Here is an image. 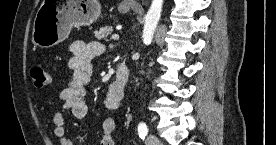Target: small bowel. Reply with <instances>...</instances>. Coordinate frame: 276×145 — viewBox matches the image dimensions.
Listing matches in <instances>:
<instances>
[{
  "mask_svg": "<svg viewBox=\"0 0 276 145\" xmlns=\"http://www.w3.org/2000/svg\"><path fill=\"white\" fill-rule=\"evenodd\" d=\"M71 58L69 68L72 72L67 86L62 90L59 98L65 109L71 111L72 116L77 120H83L88 113V105L85 100L86 85L92 75V60L102 53L99 43H85L75 41L70 46ZM124 93L116 90L114 82L109 86L104 104L105 107L114 111L119 108ZM54 135L59 138L60 145H73L66 137L64 116L61 112L53 115ZM117 121L114 116H107L102 123L103 136L101 145H115L112 133L115 131Z\"/></svg>",
  "mask_w": 276,
  "mask_h": 145,
  "instance_id": "1",
  "label": "small bowel"
}]
</instances>
